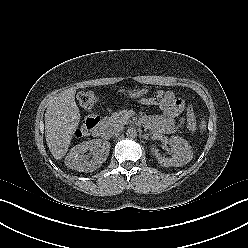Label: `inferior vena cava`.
I'll use <instances>...</instances> for the list:
<instances>
[{"label": "inferior vena cava", "instance_id": "inferior-vena-cava-1", "mask_svg": "<svg viewBox=\"0 0 248 248\" xmlns=\"http://www.w3.org/2000/svg\"><path fill=\"white\" fill-rule=\"evenodd\" d=\"M121 131H122V128L121 127H114V128H112L110 131H109V134L111 135V136H117V135H120V133H121Z\"/></svg>", "mask_w": 248, "mask_h": 248}]
</instances>
